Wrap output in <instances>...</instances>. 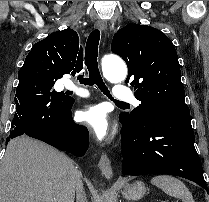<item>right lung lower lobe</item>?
Here are the masks:
<instances>
[{"instance_id": "1", "label": "right lung lower lobe", "mask_w": 209, "mask_h": 202, "mask_svg": "<svg viewBox=\"0 0 209 202\" xmlns=\"http://www.w3.org/2000/svg\"><path fill=\"white\" fill-rule=\"evenodd\" d=\"M16 112L7 138L26 134L64 150L83 156L88 149V130L74 123V99L56 97L33 78L20 81L15 96Z\"/></svg>"}]
</instances>
